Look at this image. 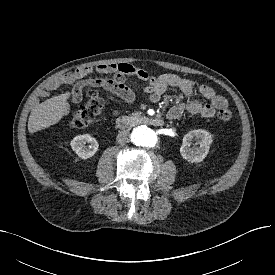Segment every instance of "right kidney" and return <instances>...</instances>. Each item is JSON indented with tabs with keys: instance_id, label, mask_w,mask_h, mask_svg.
<instances>
[{
	"instance_id": "obj_1",
	"label": "right kidney",
	"mask_w": 275,
	"mask_h": 275,
	"mask_svg": "<svg viewBox=\"0 0 275 275\" xmlns=\"http://www.w3.org/2000/svg\"><path fill=\"white\" fill-rule=\"evenodd\" d=\"M89 143V146H84ZM72 150L82 159H88L95 155L99 144L95 138L89 134L78 135L70 143Z\"/></svg>"
}]
</instances>
